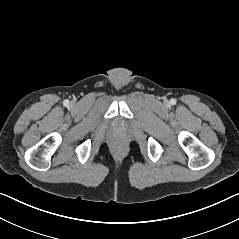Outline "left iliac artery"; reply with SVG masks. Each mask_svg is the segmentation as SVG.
Segmentation results:
<instances>
[{
	"mask_svg": "<svg viewBox=\"0 0 239 239\" xmlns=\"http://www.w3.org/2000/svg\"><path fill=\"white\" fill-rule=\"evenodd\" d=\"M175 103V100H172V104H174Z\"/></svg>",
	"mask_w": 239,
	"mask_h": 239,
	"instance_id": "obj_1",
	"label": "left iliac artery"
}]
</instances>
